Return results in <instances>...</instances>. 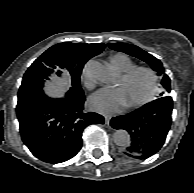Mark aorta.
<instances>
[{
  "label": "aorta",
  "mask_w": 194,
  "mask_h": 193,
  "mask_svg": "<svg viewBox=\"0 0 194 193\" xmlns=\"http://www.w3.org/2000/svg\"><path fill=\"white\" fill-rule=\"evenodd\" d=\"M88 72L91 77L104 84H110L114 80V73L97 61L88 63ZM113 141L117 146L126 147L130 145V135L126 130L119 129L113 134Z\"/></svg>",
  "instance_id": "obj_1"
}]
</instances>
